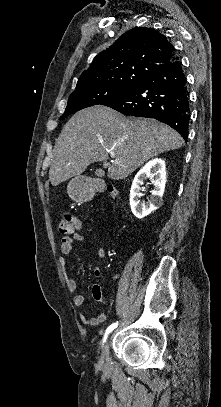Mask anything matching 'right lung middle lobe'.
I'll list each match as a JSON object with an SVG mask.
<instances>
[{"label":"right lung middle lobe","mask_w":221,"mask_h":407,"mask_svg":"<svg viewBox=\"0 0 221 407\" xmlns=\"http://www.w3.org/2000/svg\"><path fill=\"white\" fill-rule=\"evenodd\" d=\"M135 86L95 85L76 90L70 95L65 113L61 119L83 108L98 104L102 105L110 100L116 99L126 94Z\"/></svg>","instance_id":"1"}]
</instances>
